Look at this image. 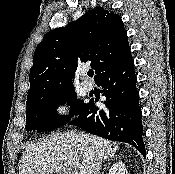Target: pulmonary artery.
<instances>
[{
    "instance_id": "obj_1",
    "label": "pulmonary artery",
    "mask_w": 175,
    "mask_h": 174,
    "mask_svg": "<svg viewBox=\"0 0 175 174\" xmlns=\"http://www.w3.org/2000/svg\"><path fill=\"white\" fill-rule=\"evenodd\" d=\"M86 75V73H84V76ZM82 85H83V88L86 90V91H91L92 89H93V83L92 82H90V81H87V80H85V81H83L82 82Z\"/></svg>"
}]
</instances>
